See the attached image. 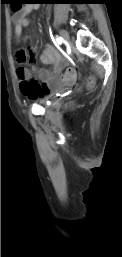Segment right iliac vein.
Returning a JSON list of instances; mask_svg holds the SVG:
<instances>
[{
	"instance_id": "63e3f726",
	"label": "right iliac vein",
	"mask_w": 122,
	"mask_h": 257,
	"mask_svg": "<svg viewBox=\"0 0 122 257\" xmlns=\"http://www.w3.org/2000/svg\"><path fill=\"white\" fill-rule=\"evenodd\" d=\"M59 34L64 41L69 42V34L65 30H60Z\"/></svg>"
}]
</instances>
